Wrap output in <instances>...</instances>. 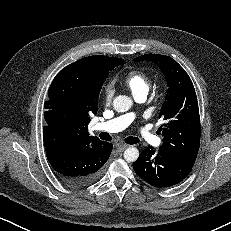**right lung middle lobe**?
Masks as SVG:
<instances>
[{
    "label": "right lung middle lobe",
    "instance_id": "dd1d6c3e",
    "mask_svg": "<svg viewBox=\"0 0 231 231\" xmlns=\"http://www.w3.org/2000/svg\"><path fill=\"white\" fill-rule=\"evenodd\" d=\"M124 63L123 59L114 58L105 63V72ZM103 84L90 77L86 68L72 63L62 69L52 81L48 90V100L44 107L48 112L65 109L86 110L88 103L97 101Z\"/></svg>",
    "mask_w": 231,
    "mask_h": 231
}]
</instances>
